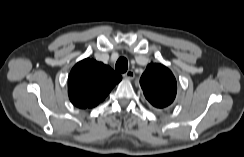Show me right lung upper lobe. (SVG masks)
Here are the masks:
<instances>
[{"instance_id":"1","label":"right lung upper lobe","mask_w":244,"mask_h":157,"mask_svg":"<svg viewBox=\"0 0 244 157\" xmlns=\"http://www.w3.org/2000/svg\"><path fill=\"white\" fill-rule=\"evenodd\" d=\"M122 77L109 66L87 58L78 62L68 78V94L79 108H92L103 101Z\"/></svg>"}]
</instances>
